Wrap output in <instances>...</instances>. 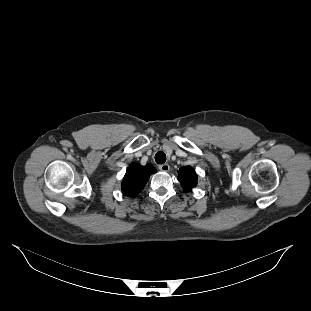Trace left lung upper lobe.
I'll return each mask as SVG.
<instances>
[{"label":"left lung upper lobe","mask_w":311,"mask_h":311,"mask_svg":"<svg viewBox=\"0 0 311 311\" xmlns=\"http://www.w3.org/2000/svg\"><path fill=\"white\" fill-rule=\"evenodd\" d=\"M178 180L185 192H189L197 185V175L190 166L181 167L178 171Z\"/></svg>","instance_id":"obj_1"}]
</instances>
